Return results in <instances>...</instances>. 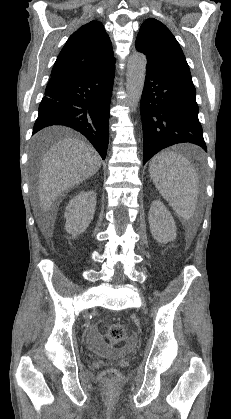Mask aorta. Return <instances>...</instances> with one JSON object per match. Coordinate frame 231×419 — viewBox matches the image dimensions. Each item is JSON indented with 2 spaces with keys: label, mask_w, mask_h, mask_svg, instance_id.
Returning <instances> with one entry per match:
<instances>
[{
  "label": "aorta",
  "mask_w": 231,
  "mask_h": 419,
  "mask_svg": "<svg viewBox=\"0 0 231 419\" xmlns=\"http://www.w3.org/2000/svg\"><path fill=\"white\" fill-rule=\"evenodd\" d=\"M147 58L142 53H133L127 64L126 77V93L127 104L133 111L141 99L145 74H146Z\"/></svg>",
  "instance_id": "aorta-1"
}]
</instances>
